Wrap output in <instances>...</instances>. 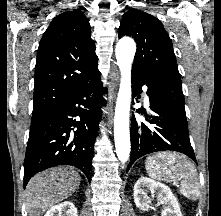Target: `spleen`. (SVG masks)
<instances>
[{
  "label": "spleen",
  "instance_id": "obj_1",
  "mask_svg": "<svg viewBox=\"0 0 221 216\" xmlns=\"http://www.w3.org/2000/svg\"><path fill=\"white\" fill-rule=\"evenodd\" d=\"M145 169L151 178L174 184L181 181L180 191L187 198L199 195L197 171L183 155L168 152L150 155L146 158Z\"/></svg>",
  "mask_w": 221,
  "mask_h": 216
}]
</instances>
